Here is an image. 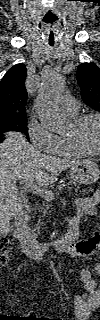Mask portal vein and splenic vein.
<instances>
[{
	"label": "portal vein and splenic vein",
	"instance_id": "1",
	"mask_svg": "<svg viewBox=\"0 0 100 320\" xmlns=\"http://www.w3.org/2000/svg\"><path fill=\"white\" fill-rule=\"evenodd\" d=\"M19 181L25 183L28 189H30L33 193L40 195L47 201L55 198V195L51 190L41 188L33 179H19Z\"/></svg>",
	"mask_w": 100,
	"mask_h": 320
}]
</instances>
